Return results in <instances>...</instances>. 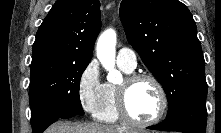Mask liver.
<instances>
[{
  "instance_id": "6515ba94",
  "label": "liver",
  "mask_w": 221,
  "mask_h": 133,
  "mask_svg": "<svg viewBox=\"0 0 221 133\" xmlns=\"http://www.w3.org/2000/svg\"><path fill=\"white\" fill-rule=\"evenodd\" d=\"M45 133H138V130L99 123L60 121L50 126Z\"/></svg>"
}]
</instances>
